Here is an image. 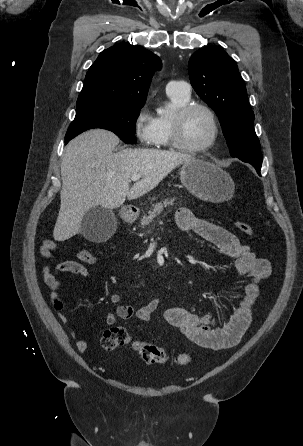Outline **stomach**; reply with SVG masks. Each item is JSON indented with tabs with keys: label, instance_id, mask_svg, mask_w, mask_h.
<instances>
[{
	"label": "stomach",
	"instance_id": "0dacf381",
	"mask_svg": "<svg viewBox=\"0 0 303 446\" xmlns=\"http://www.w3.org/2000/svg\"><path fill=\"white\" fill-rule=\"evenodd\" d=\"M180 180L191 194L212 203L230 200L235 189L227 172L210 162L195 158L182 165ZM134 214L135 212L130 211L124 217L131 218Z\"/></svg>",
	"mask_w": 303,
	"mask_h": 446
}]
</instances>
